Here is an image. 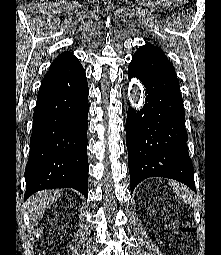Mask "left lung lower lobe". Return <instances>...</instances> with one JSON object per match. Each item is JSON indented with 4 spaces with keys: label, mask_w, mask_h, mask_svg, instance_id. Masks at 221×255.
<instances>
[{
    "label": "left lung lower lobe",
    "mask_w": 221,
    "mask_h": 255,
    "mask_svg": "<svg viewBox=\"0 0 221 255\" xmlns=\"http://www.w3.org/2000/svg\"><path fill=\"white\" fill-rule=\"evenodd\" d=\"M128 77L140 79L147 94L143 109L135 113L129 107L126 120L131 193L142 180L154 176L180 181L196 192L173 65L163 52L141 46L129 64Z\"/></svg>",
    "instance_id": "obj_1"
}]
</instances>
